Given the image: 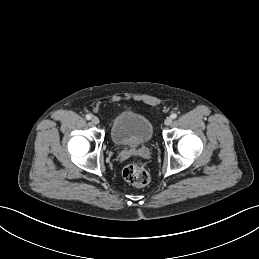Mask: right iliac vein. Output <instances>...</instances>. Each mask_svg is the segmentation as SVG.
Instances as JSON below:
<instances>
[{"instance_id": "right-iliac-vein-1", "label": "right iliac vein", "mask_w": 259, "mask_h": 259, "mask_svg": "<svg viewBox=\"0 0 259 259\" xmlns=\"http://www.w3.org/2000/svg\"><path fill=\"white\" fill-rule=\"evenodd\" d=\"M91 121H92V123L95 124V125L99 124V122H100V121H99V118L96 117V116H93L92 119H91Z\"/></svg>"}]
</instances>
